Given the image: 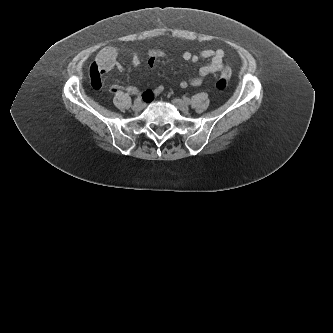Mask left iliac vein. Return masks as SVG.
Returning a JSON list of instances; mask_svg holds the SVG:
<instances>
[{"label": "left iliac vein", "instance_id": "left-iliac-vein-1", "mask_svg": "<svg viewBox=\"0 0 333 333\" xmlns=\"http://www.w3.org/2000/svg\"><path fill=\"white\" fill-rule=\"evenodd\" d=\"M172 103L174 104V106L176 108H178L179 110H181L184 113H187L189 111V106L187 103H185L183 100L179 99V98H175L173 99Z\"/></svg>", "mask_w": 333, "mask_h": 333}]
</instances>
